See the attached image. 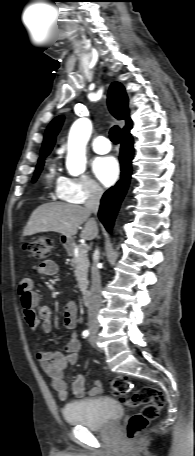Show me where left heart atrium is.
Instances as JSON below:
<instances>
[{"instance_id":"1","label":"left heart atrium","mask_w":195,"mask_h":456,"mask_svg":"<svg viewBox=\"0 0 195 456\" xmlns=\"http://www.w3.org/2000/svg\"><path fill=\"white\" fill-rule=\"evenodd\" d=\"M94 175L104 186H111L119 176V164L112 156L99 157L93 161Z\"/></svg>"}]
</instances>
